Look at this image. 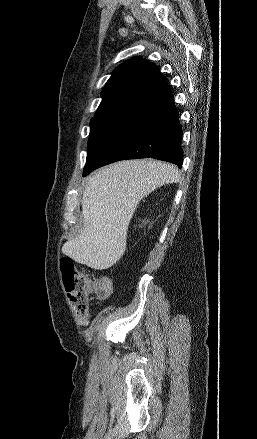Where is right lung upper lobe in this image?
Returning <instances> with one entry per match:
<instances>
[{
	"instance_id": "cb5924a9",
	"label": "right lung upper lobe",
	"mask_w": 257,
	"mask_h": 439,
	"mask_svg": "<svg viewBox=\"0 0 257 439\" xmlns=\"http://www.w3.org/2000/svg\"><path fill=\"white\" fill-rule=\"evenodd\" d=\"M171 93L166 77L154 63L132 57L112 72L95 117L129 119Z\"/></svg>"
}]
</instances>
